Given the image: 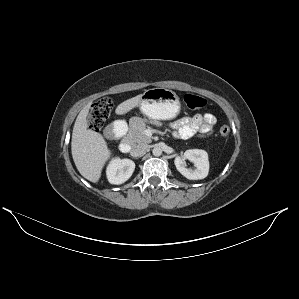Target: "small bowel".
<instances>
[{
  "label": "small bowel",
  "mask_w": 299,
  "mask_h": 299,
  "mask_svg": "<svg viewBox=\"0 0 299 299\" xmlns=\"http://www.w3.org/2000/svg\"><path fill=\"white\" fill-rule=\"evenodd\" d=\"M216 118L213 114H196L192 117H182L173 123L171 128L178 138H190L194 135H210L214 131Z\"/></svg>",
  "instance_id": "1"
}]
</instances>
